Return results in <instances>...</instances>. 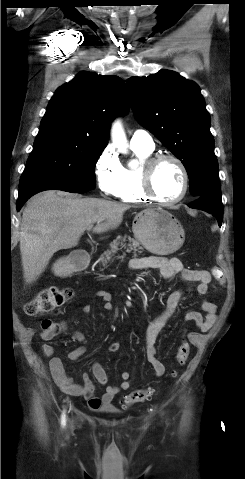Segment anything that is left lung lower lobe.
Masks as SVG:
<instances>
[{
	"label": "left lung lower lobe",
	"instance_id": "obj_1",
	"mask_svg": "<svg viewBox=\"0 0 245 479\" xmlns=\"http://www.w3.org/2000/svg\"><path fill=\"white\" fill-rule=\"evenodd\" d=\"M188 206L190 208L203 210L209 214H212L217 219L219 226H221L223 217V204L220 187H216L206 192Z\"/></svg>",
	"mask_w": 245,
	"mask_h": 479
}]
</instances>
